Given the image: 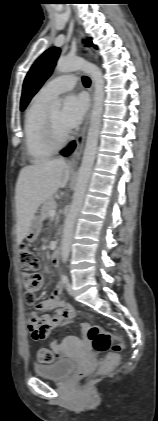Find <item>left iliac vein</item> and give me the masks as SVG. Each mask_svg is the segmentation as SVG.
Wrapping results in <instances>:
<instances>
[{
  "mask_svg": "<svg viewBox=\"0 0 158 421\" xmlns=\"http://www.w3.org/2000/svg\"><path fill=\"white\" fill-rule=\"evenodd\" d=\"M66 289H67V291H68V293H69L70 295H72V294H73L72 284H71L70 282H68V283L66 284Z\"/></svg>",
  "mask_w": 158,
  "mask_h": 421,
  "instance_id": "obj_1",
  "label": "left iliac vein"
}]
</instances>
